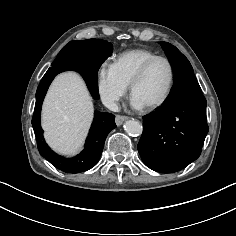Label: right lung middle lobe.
<instances>
[{"label": "right lung middle lobe", "mask_w": 236, "mask_h": 236, "mask_svg": "<svg viewBox=\"0 0 236 236\" xmlns=\"http://www.w3.org/2000/svg\"><path fill=\"white\" fill-rule=\"evenodd\" d=\"M102 41H104V40H102ZM104 43L106 44V43H108L107 41H104ZM57 61V57H56V59H55V61L54 62H56Z\"/></svg>", "instance_id": "right-lung-middle-lobe-1"}]
</instances>
